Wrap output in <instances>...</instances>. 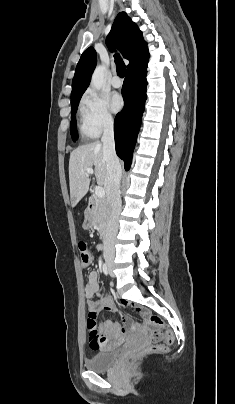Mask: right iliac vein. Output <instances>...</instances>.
<instances>
[{"instance_id":"right-iliac-vein-1","label":"right iliac vein","mask_w":235,"mask_h":404,"mask_svg":"<svg viewBox=\"0 0 235 404\" xmlns=\"http://www.w3.org/2000/svg\"><path fill=\"white\" fill-rule=\"evenodd\" d=\"M105 260H106V263H107V265H108L109 271L112 272V269H113V262H112V259L109 258V257H105Z\"/></svg>"}]
</instances>
